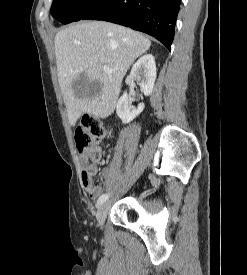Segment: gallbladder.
<instances>
[{"label": "gallbladder", "instance_id": "1", "mask_svg": "<svg viewBox=\"0 0 247 275\" xmlns=\"http://www.w3.org/2000/svg\"><path fill=\"white\" fill-rule=\"evenodd\" d=\"M98 84H99L98 82H89L86 76L82 74L81 77L74 82L73 88L76 90L78 94L83 92L84 90L92 93L93 86Z\"/></svg>", "mask_w": 247, "mask_h": 275}]
</instances>
